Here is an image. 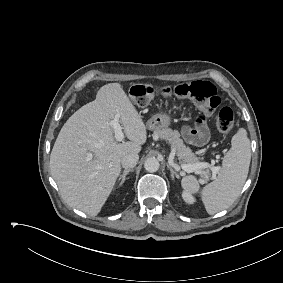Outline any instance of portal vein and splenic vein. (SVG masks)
Listing matches in <instances>:
<instances>
[{
	"mask_svg": "<svg viewBox=\"0 0 283 283\" xmlns=\"http://www.w3.org/2000/svg\"><path fill=\"white\" fill-rule=\"evenodd\" d=\"M110 126L114 129L115 139L119 142L122 141L124 139V134L122 131L123 128L118 122V116L115 119L110 121ZM200 165H208L214 174H217L219 171V167L209 165L208 163H199V164H194V165L183 164L181 167L185 172L191 173V172L197 171Z\"/></svg>",
	"mask_w": 283,
	"mask_h": 283,
	"instance_id": "portal-vein-and-splenic-vein-1",
	"label": "portal vein and splenic vein"
}]
</instances>
